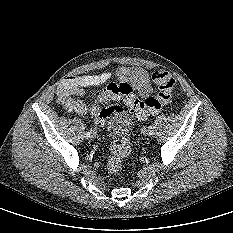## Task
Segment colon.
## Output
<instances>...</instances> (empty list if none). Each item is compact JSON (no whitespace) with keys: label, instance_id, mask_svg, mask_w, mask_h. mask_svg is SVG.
<instances>
[{"label":"colon","instance_id":"colon-1","mask_svg":"<svg viewBox=\"0 0 233 233\" xmlns=\"http://www.w3.org/2000/svg\"><path fill=\"white\" fill-rule=\"evenodd\" d=\"M152 79L158 88V92L143 100H139L127 85H121L119 89L124 103L129 107L133 114L141 119L159 112L163 106L171 100L175 87V80L164 70L155 71L152 75ZM120 109L121 108L119 106H110L101 110H95L93 114L98 122H102L108 118L113 110ZM129 153L130 139L129 134H126L116 140L111 147V153L107 162L108 171L111 174L119 173L122 168L123 161Z\"/></svg>","mask_w":233,"mask_h":233}]
</instances>
